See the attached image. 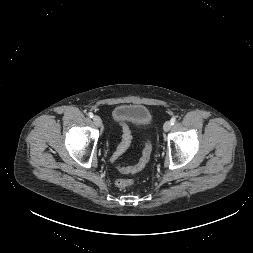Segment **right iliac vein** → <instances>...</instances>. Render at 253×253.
<instances>
[{
  "label": "right iliac vein",
  "mask_w": 253,
  "mask_h": 253,
  "mask_svg": "<svg viewBox=\"0 0 253 253\" xmlns=\"http://www.w3.org/2000/svg\"><path fill=\"white\" fill-rule=\"evenodd\" d=\"M93 121H94V123H95V125H96L97 127H100V126L102 125L101 118H100L99 116H97V115H95V116L93 117Z\"/></svg>",
  "instance_id": "63e3f726"
}]
</instances>
